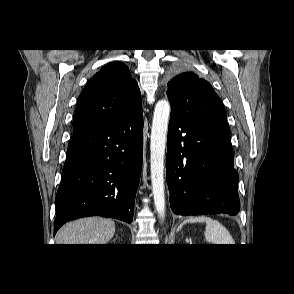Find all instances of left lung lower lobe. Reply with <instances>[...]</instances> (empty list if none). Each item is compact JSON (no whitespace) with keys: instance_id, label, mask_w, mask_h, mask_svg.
Returning a JSON list of instances; mask_svg holds the SVG:
<instances>
[{"instance_id":"left-lung-lower-lobe-1","label":"left lung lower lobe","mask_w":294,"mask_h":294,"mask_svg":"<svg viewBox=\"0 0 294 294\" xmlns=\"http://www.w3.org/2000/svg\"><path fill=\"white\" fill-rule=\"evenodd\" d=\"M166 177L175 214L236 215L238 173L228 124L192 122L171 112Z\"/></svg>"}]
</instances>
